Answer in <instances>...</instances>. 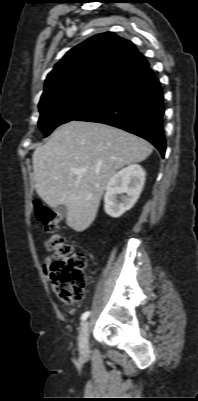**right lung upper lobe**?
Listing matches in <instances>:
<instances>
[{
	"label": "right lung upper lobe",
	"instance_id": "obj_1",
	"mask_svg": "<svg viewBox=\"0 0 198 401\" xmlns=\"http://www.w3.org/2000/svg\"><path fill=\"white\" fill-rule=\"evenodd\" d=\"M146 61L131 41L112 32L69 50L45 80L41 99L86 85L110 86Z\"/></svg>",
	"mask_w": 198,
	"mask_h": 401
}]
</instances>
